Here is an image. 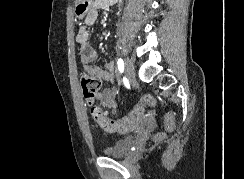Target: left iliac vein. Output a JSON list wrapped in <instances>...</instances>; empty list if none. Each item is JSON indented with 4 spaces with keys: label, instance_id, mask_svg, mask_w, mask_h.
<instances>
[{
    "label": "left iliac vein",
    "instance_id": "obj_1",
    "mask_svg": "<svg viewBox=\"0 0 244 179\" xmlns=\"http://www.w3.org/2000/svg\"><path fill=\"white\" fill-rule=\"evenodd\" d=\"M125 74H126V77L131 82L134 81L136 78V71H135L134 65L130 61L126 62Z\"/></svg>",
    "mask_w": 244,
    "mask_h": 179
}]
</instances>
